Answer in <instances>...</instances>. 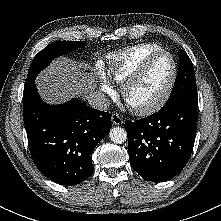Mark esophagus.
Instances as JSON below:
<instances>
[{
    "instance_id": "esophagus-1",
    "label": "esophagus",
    "mask_w": 221,
    "mask_h": 221,
    "mask_svg": "<svg viewBox=\"0 0 221 221\" xmlns=\"http://www.w3.org/2000/svg\"><path fill=\"white\" fill-rule=\"evenodd\" d=\"M112 122L115 125H121L124 123V120L122 119V117H120L118 114L113 113L111 116Z\"/></svg>"
}]
</instances>
